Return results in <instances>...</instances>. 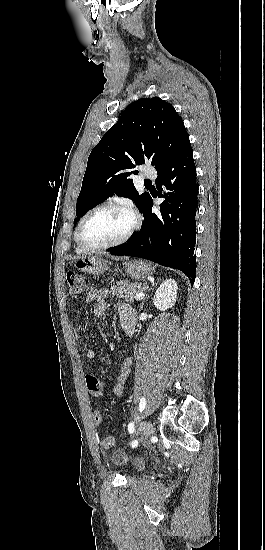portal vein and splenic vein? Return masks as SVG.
Here are the masks:
<instances>
[{"instance_id":"18ae733b","label":"portal vein and splenic vein","mask_w":265,"mask_h":550,"mask_svg":"<svg viewBox=\"0 0 265 550\" xmlns=\"http://www.w3.org/2000/svg\"><path fill=\"white\" fill-rule=\"evenodd\" d=\"M144 296H145L144 293H139V294L136 295L135 299L136 300H142L144 298Z\"/></svg>"}]
</instances>
